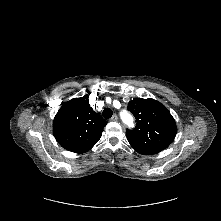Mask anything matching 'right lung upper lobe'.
Masks as SVG:
<instances>
[{
    "label": "right lung upper lobe",
    "instance_id": "1",
    "mask_svg": "<svg viewBox=\"0 0 221 221\" xmlns=\"http://www.w3.org/2000/svg\"><path fill=\"white\" fill-rule=\"evenodd\" d=\"M107 124L99 113L90 107L88 95L65 102L53 122L57 142L75 153L89 151L101 138Z\"/></svg>",
    "mask_w": 221,
    "mask_h": 221
}]
</instances>
